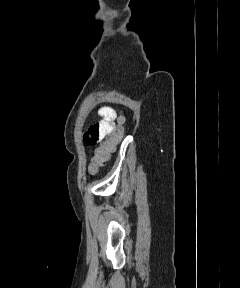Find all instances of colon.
I'll use <instances>...</instances> for the list:
<instances>
[{"mask_svg": "<svg viewBox=\"0 0 240 288\" xmlns=\"http://www.w3.org/2000/svg\"><path fill=\"white\" fill-rule=\"evenodd\" d=\"M122 136L121 127H116L95 150V154L89 166V172L95 173L99 167L103 166L109 159L110 154L115 150Z\"/></svg>", "mask_w": 240, "mask_h": 288, "instance_id": "5ec220e1", "label": "colon"}]
</instances>
